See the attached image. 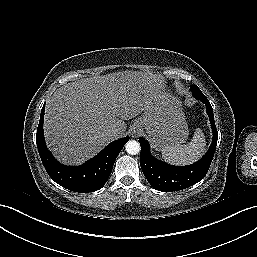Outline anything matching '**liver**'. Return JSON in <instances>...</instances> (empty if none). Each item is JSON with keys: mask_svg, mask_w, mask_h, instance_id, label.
Returning a JSON list of instances; mask_svg holds the SVG:
<instances>
[{"mask_svg": "<svg viewBox=\"0 0 257 257\" xmlns=\"http://www.w3.org/2000/svg\"><path fill=\"white\" fill-rule=\"evenodd\" d=\"M158 81L149 72L122 71L63 85L46 105L48 148L66 165L85 162L113 140L108 130L122 136L124 120L141 114L156 95H171Z\"/></svg>", "mask_w": 257, "mask_h": 257, "instance_id": "6515ba94", "label": "liver"}]
</instances>
